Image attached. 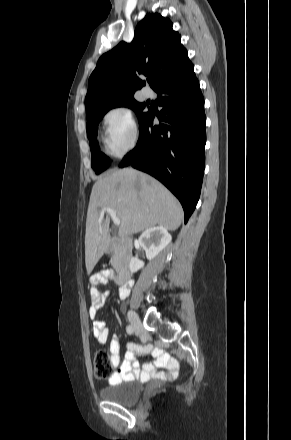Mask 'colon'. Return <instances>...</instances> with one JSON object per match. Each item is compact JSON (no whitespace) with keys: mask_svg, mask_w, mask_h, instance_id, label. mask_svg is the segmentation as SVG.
<instances>
[{"mask_svg":"<svg viewBox=\"0 0 291 440\" xmlns=\"http://www.w3.org/2000/svg\"><path fill=\"white\" fill-rule=\"evenodd\" d=\"M111 364L107 354L99 350L96 352L93 359V370L94 374L99 379H105L110 377L112 374Z\"/></svg>","mask_w":291,"mask_h":440,"instance_id":"1","label":"colon"}]
</instances>
